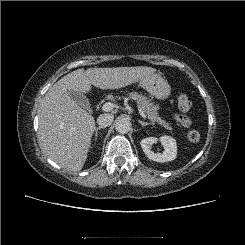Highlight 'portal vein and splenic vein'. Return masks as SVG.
<instances>
[{"label": "portal vein and splenic vein", "mask_w": 245, "mask_h": 245, "mask_svg": "<svg viewBox=\"0 0 245 245\" xmlns=\"http://www.w3.org/2000/svg\"><path fill=\"white\" fill-rule=\"evenodd\" d=\"M114 105L111 102H106L103 106H102V110L105 112H109L113 109ZM138 111L140 113V115L142 116L143 119H146V115L145 113L142 111V109L139 107Z\"/></svg>", "instance_id": "1"}]
</instances>
